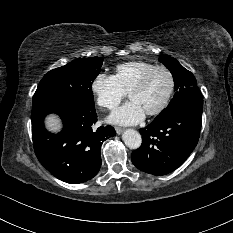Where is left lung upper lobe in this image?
Instances as JSON below:
<instances>
[{
    "label": "left lung upper lobe",
    "mask_w": 233,
    "mask_h": 233,
    "mask_svg": "<svg viewBox=\"0 0 233 233\" xmlns=\"http://www.w3.org/2000/svg\"><path fill=\"white\" fill-rule=\"evenodd\" d=\"M159 61L172 73L176 92L167 108L164 109L155 120L169 117L177 109L192 99L202 98L201 92L196 85L194 75L185 69L175 58L161 56Z\"/></svg>",
    "instance_id": "obj_1"
}]
</instances>
